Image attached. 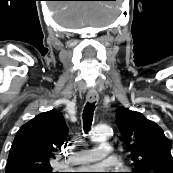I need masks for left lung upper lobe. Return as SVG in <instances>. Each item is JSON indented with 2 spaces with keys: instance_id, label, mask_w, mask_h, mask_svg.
Segmentation results:
<instances>
[{
  "instance_id": "1",
  "label": "left lung upper lobe",
  "mask_w": 173,
  "mask_h": 173,
  "mask_svg": "<svg viewBox=\"0 0 173 173\" xmlns=\"http://www.w3.org/2000/svg\"><path fill=\"white\" fill-rule=\"evenodd\" d=\"M116 119L133 161L132 173H173L170 142L156 123L126 108L117 110Z\"/></svg>"
}]
</instances>
